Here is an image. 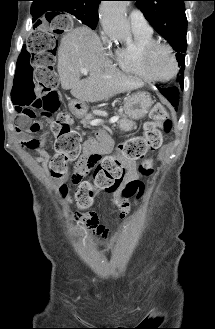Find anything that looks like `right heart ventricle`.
Masks as SVG:
<instances>
[{"label":"right heart ventricle","instance_id":"obj_1","mask_svg":"<svg viewBox=\"0 0 215 329\" xmlns=\"http://www.w3.org/2000/svg\"><path fill=\"white\" fill-rule=\"evenodd\" d=\"M133 33V43L118 48L114 53V58L123 71L149 81L150 79L142 69L141 52L148 44L155 40L152 33Z\"/></svg>","mask_w":215,"mask_h":329}]
</instances>
